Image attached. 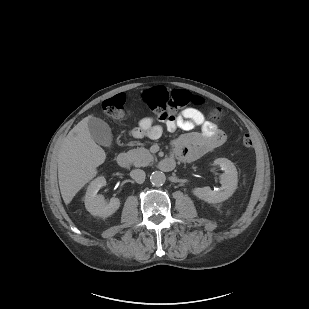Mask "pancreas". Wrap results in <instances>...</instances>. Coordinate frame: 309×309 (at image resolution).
Returning <instances> with one entry per match:
<instances>
[{
  "label": "pancreas",
  "instance_id": "pancreas-1",
  "mask_svg": "<svg viewBox=\"0 0 309 309\" xmlns=\"http://www.w3.org/2000/svg\"><path fill=\"white\" fill-rule=\"evenodd\" d=\"M127 154L133 165L136 167H145L154 161L153 155L149 152V150L143 147L129 150Z\"/></svg>",
  "mask_w": 309,
  "mask_h": 309
}]
</instances>
